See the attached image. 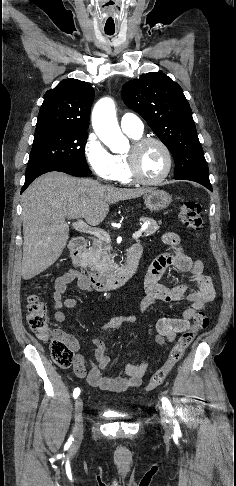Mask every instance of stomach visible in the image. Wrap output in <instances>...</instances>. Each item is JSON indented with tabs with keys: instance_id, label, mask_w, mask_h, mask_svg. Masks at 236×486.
Here are the masks:
<instances>
[{
	"instance_id": "stomach-1",
	"label": "stomach",
	"mask_w": 236,
	"mask_h": 486,
	"mask_svg": "<svg viewBox=\"0 0 236 486\" xmlns=\"http://www.w3.org/2000/svg\"><path fill=\"white\" fill-rule=\"evenodd\" d=\"M172 201V196L163 190H152L145 194L144 202L150 211H161L167 208Z\"/></svg>"
}]
</instances>
